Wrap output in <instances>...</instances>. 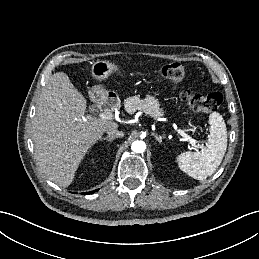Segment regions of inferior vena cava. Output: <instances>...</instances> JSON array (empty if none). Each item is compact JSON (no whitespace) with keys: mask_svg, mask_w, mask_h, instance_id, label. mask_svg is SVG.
Masks as SVG:
<instances>
[{"mask_svg":"<svg viewBox=\"0 0 259 259\" xmlns=\"http://www.w3.org/2000/svg\"><path fill=\"white\" fill-rule=\"evenodd\" d=\"M106 132L109 136H114V137H123L124 136V133L117 129H107Z\"/></svg>","mask_w":259,"mask_h":259,"instance_id":"1","label":"inferior vena cava"}]
</instances>
